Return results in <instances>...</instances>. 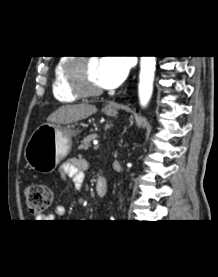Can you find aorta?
<instances>
[{"instance_id":"762f6f07","label":"aorta","mask_w":218,"mask_h":277,"mask_svg":"<svg viewBox=\"0 0 218 277\" xmlns=\"http://www.w3.org/2000/svg\"><path fill=\"white\" fill-rule=\"evenodd\" d=\"M155 65V56H141L138 91L140 104L142 106L148 104L153 93Z\"/></svg>"}]
</instances>
